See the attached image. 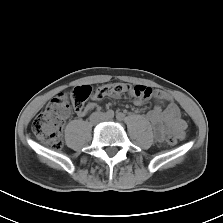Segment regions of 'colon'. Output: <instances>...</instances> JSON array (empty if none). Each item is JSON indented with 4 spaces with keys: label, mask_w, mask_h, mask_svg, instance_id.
<instances>
[{
    "label": "colon",
    "mask_w": 223,
    "mask_h": 223,
    "mask_svg": "<svg viewBox=\"0 0 223 223\" xmlns=\"http://www.w3.org/2000/svg\"><path fill=\"white\" fill-rule=\"evenodd\" d=\"M126 92L133 93L141 101H147L152 97L159 98L165 102L171 99L170 94L164 90H155L142 85L131 86L127 83L117 82L103 85L95 91L90 86L83 85L74 88L70 95L61 94L54 98L34 118L31 125L32 131L46 146L53 150H59L62 147V127L71 109L79 112L84 109L89 99H102ZM166 142L171 146L177 144V135L173 132L167 133Z\"/></svg>",
    "instance_id": "5ec220e1"
}]
</instances>
